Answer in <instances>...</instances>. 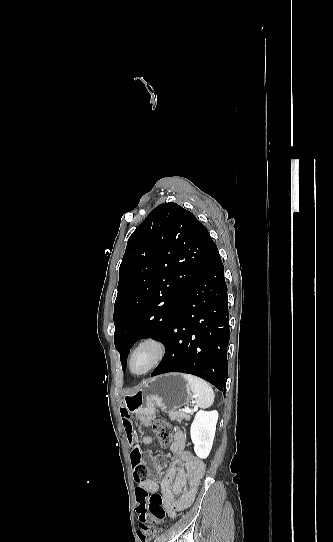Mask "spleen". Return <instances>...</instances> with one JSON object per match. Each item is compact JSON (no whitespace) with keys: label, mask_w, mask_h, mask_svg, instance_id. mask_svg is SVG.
Wrapping results in <instances>:
<instances>
[{"label":"spleen","mask_w":333,"mask_h":542,"mask_svg":"<svg viewBox=\"0 0 333 542\" xmlns=\"http://www.w3.org/2000/svg\"><path fill=\"white\" fill-rule=\"evenodd\" d=\"M182 378L188 382L198 408H203V410L210 408L214 402V392L211 386L201 378L191 376V374H182Z\"/></svg>","instance_id":"obj_1"}]
</instances>
